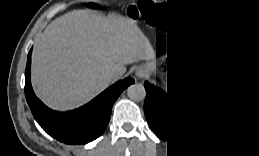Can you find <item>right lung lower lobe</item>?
Returning <instances> with one entry per match:
<instances>
[{
  "label": "right lung lower lobe",
  "mask_w": 259,
  "mask_h": 156,
  "mask_svg": "<svg viewBox=\"0 0 259 156\" xmlns=\"http://www.w3.org/2000/svg\"><path fill=\"white\" fill-rule=\"evenodd\" d=\"M31 52L32 49L28 53L25 70V96L35 120L49 135L66 144H85L98 138L109 123L114 102L134 80L126 78L118 81L78 109L53 111L33 92L30 80Z\"/></svg>",
  "instance_id": "obj_1"
}]
</instances>
